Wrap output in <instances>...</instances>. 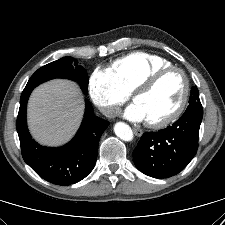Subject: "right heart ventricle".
I'll return each instance as SVG.
<instances>
[{
  "instance_id": "1",
  "label": "right heart ventricle",
  "mask_w": 225,
  "mask_h": 225,
  "mask_svg": "<svg viewBox=\"0 0 225 225\" xmlns=\"http://www.w3.org/2000/svg\"><path fill=\"white\" fill-rule=\"evenodd\" d=\"M171 65V62L160 56L132 52L115 60L109 71L121 89L128 94L151 73Z\"/></svg>"
}]
</instances>
